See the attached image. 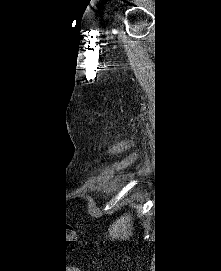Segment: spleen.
<instances>
[{
	"label": "spleen",
	"instance_id": "3e777b00",
	"mask_svg": "<svg viewBox=\"0 0 221 271\" xmlns=\"http://www.w3.org/2000/svg\"><path fill=\"white\" fill-rule=\"evenodd\" d=\"M132 217L130 213H124L110 225V237H119V239H129L133 235Z\"/></svg>",
	"mask_w": 221,
	"mask_h": 271
}]
</instances>
